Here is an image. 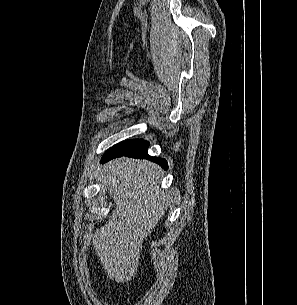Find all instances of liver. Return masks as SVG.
Wrapping results in <instances>:
<instances>
[{
    "mask_svg": "<svg viewBox=\"0 0 297 305\" xmlns=\"http://www.w3.org/2000/svg\"><path fill=\"white\" fill-rule=\"evenodd\" d=\"M159 177V165L147 160L123 157L107 165L104 179L115 210L109 222L96 230L93 247L107 276L118 283L135 277L143 240L168 208Z\"/></svg>",
    "mask_w": 297,
    "mask_h": 305,
    "instance_id": "6515ba94",
    "label": "liver"
}]
</instances>
